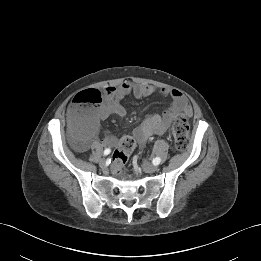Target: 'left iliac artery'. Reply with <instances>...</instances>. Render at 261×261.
Listing matches in <instances>:
<instances>
[{
    "mask_svg": "<svg viewBox=\"0 0 261 261\" xmlns=\"http://www.w3.org/2000/svg\"><path fill=\"white\" fill-rule=\"evenodd\" d=\"M161 162V158L160 157H156L154 160H153V164L154 165H159Z\"/></svg>",
    "mask_w": 261,
    "mask_h": 261,
    "instance_id": "obj_1",
    "label": "left iliac artery"
}]
</instances>
